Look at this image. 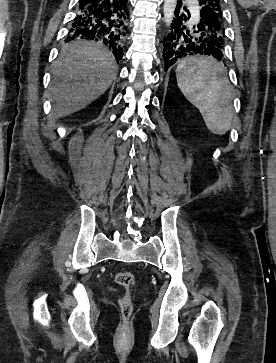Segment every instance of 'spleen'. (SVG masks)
<instances>
[{
    "label": "spleen",
    "instance_id": "obj_1",
    "mask_svg": "<svg viewBox=\"0 0 276 363\" xmlns=\"http://www.w3.org/2000/svg\"><path fill=\"white\" fill-rule=\"evenodd\" d=\"M176 78L183 95L199 109L206 127L224 135L231 127L233 106L223 64L209 56L188 57L179 62Z\"/></svg>",
    "mask_w": 276,
    "mask_h": 363
}]
</instances>
